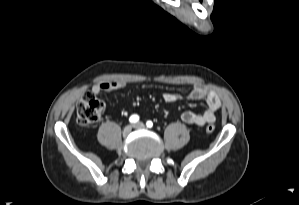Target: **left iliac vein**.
<instances>
[{
  "label": "left iliac vein",
  "mask_w": 299,
  "mask_h": 205,
  "mask_svg": "<svg viewBox=\"0 0 299 205\" xmlns=\"http://www.w3.org/2000/svg\"><path fill=\"white\" fill-rule=\"evenodd\" d=\"M134 128H136V129H144L145 125L142 122H138V123L134 124Z\"/></svg>",
  "instance_id": "left-iliac-vein-1"
}]
</instances>
